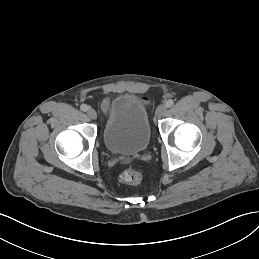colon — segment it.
Instances as JSON below:
<instances>
[{
	"instance_id": "1",
	"label": "colon",
	"mask_w": 259,
	"mask_h": 259,
	"mask_svg": "<svg viewBox=\"0 0 259 259\" xmlns=\"http://www.w3.org/2000/svg\"><path fill=\"white\" fill-rule=\"evenodd\" d=\"M120 180L127 184H138L142 180V174L135 169H126L121 173Z\"/></svg>"
}]
</instances>
